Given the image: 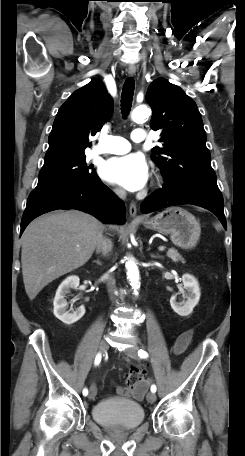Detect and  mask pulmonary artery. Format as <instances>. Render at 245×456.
I'll return each instance as SVG.
<instances>
[{
    "instance_id": "pulmonary-artery-1",
    "label": "pulmonary artery",
    "mask_w": 245,
    "mask_h": 456,
    "mask_svg": "<svg viewBox=\"0 0 245 456\" xmlns=\"http://www.w3.org/2000/svg\"><path fill=\"white\" fill-rule=\"evenodd\" d=\"M133 142L139 143L146 139L143 129H135L131 133ZM130 143L120 136H106L94 147L93 154H123L130 150Z\"/></svg>"
}]
</instances>
